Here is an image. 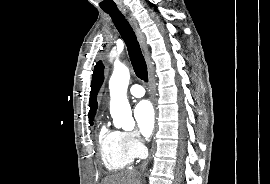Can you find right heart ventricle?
<instances>
[{
    "label": "right heart ventricle",
    "instance_id": "1",
    "mask_svg": "<svg viewBox=\"0 0 270 184\" xmlns=\"http://www.w3.org/2000/svg\"><path fill=\"white\" fill-rule=\"evenodd\" d=\"M98 144L102 161L108 170L124 169L135 158L125 145L123 132L111 130L106 125L99 129Z\"/></svg>",
    "mask_w": 270,
    "mask_h": 184
}]
</instances>
